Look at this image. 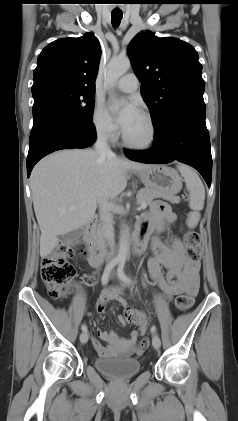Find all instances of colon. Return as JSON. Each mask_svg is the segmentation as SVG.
<instances>
[{
    "label": "colon",
    "instance_id": "obj_1",
    "mask_svg": "<svg viewBox=\"0 0 238 421\" xmlns=\"http://www.w3.org/2000/svg\"><path fill=\"white\" fill-rule=\"evenodd\" d=\"M185 241L188 257L192 261H199L201 258L200 237L197 232L188 230L185 232ZM72 248L65 244H58L53 251L46 255L41 262V278L46 286L49 296L53 299L64 298L70 291L75 277V269L66 259L72 253ZM88 252L81 249V255L86 256ZM193 303L187 295H179L175 304L180 311L188 310ZM149 341L142 339L140 349L148 347Z\"/></svg>",
    "mask_w": 238,
    "mask_h": 421
}]
</instances>
